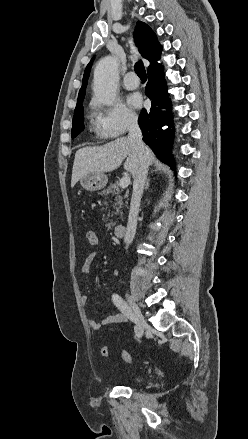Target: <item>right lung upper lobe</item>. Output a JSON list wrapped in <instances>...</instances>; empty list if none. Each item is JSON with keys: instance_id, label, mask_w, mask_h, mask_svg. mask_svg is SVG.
Returning <instances> with one entry per match:
<instances>
[{"instance_id": "obj_1", "label": "right lung upper lobe", "mask_w": 248, "mask_h": 439, "mask_svg": "<svg viewBox=\"0 0 248 439\" xmlns=\"http://www.w3.org/2000/svg\"><path fill=\"white\" fill-rule=\"evenodd\" d=\"M134 38L142 57L150 61V66L148 67V71L152 70L153 68L159 67L160 64L157 62V60H159L160 58L162 47L159 44L157 37L155 33L152 31V29L146 23L138 21L136 23V27L134 31ZM91 64L92 61L87 65L85 69L82 87L79 91L78 101L75 111L83 107L82 101L85 96V90L89 78Z\"/></svg>"}]
</instances>
